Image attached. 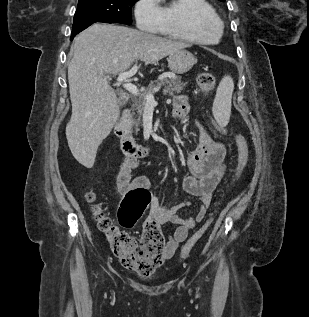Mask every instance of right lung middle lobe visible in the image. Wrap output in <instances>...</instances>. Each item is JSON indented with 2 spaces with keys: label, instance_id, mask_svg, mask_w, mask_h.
Returning <instances> with one entry per match:
<instances>
[{
  "label": "right lung middle lobe",
  "instance_id": "obj_1",
  "mask_svg": "<svg viewBox=\"0 0 309 317\" xmlns=\"http://www.w3.org/2000/svg\"><path fill=\"white\" fill-rule=\"evenodd\" d=\"M138 0H79L73 27L85 22L132 24L131 7Z\"/></svg>",
  "mask_w": 309,
  "mask_h": 317
}]
</instances>
